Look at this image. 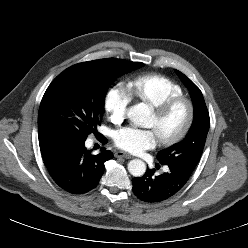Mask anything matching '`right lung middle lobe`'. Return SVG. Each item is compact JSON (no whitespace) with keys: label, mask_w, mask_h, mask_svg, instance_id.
I'll use <instances>...</instances> for the list:
<instances>
[{"label":"right lung middle lobe","mask_w":248,"mask_h":248,"mask_svg":"<svg viewBox=\"0 0 248 248\" xmlns=\"http://www.w3.org/2000/svg\"><path fill=\"white\" fill-rule=\"evenodd\" d=\"M143 63L108 58L75 64L47 88L39 108V137H66L85 141L97 133L109 85Z\"/></svg>","instance_id":"obj_1"}]
</instances>
